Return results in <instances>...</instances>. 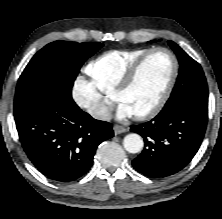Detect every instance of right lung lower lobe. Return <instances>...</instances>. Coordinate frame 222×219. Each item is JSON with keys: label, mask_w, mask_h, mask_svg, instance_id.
Here are the masks:
<instances>
[{"label": "right lung lower lobe", "mask_w": 222, "mask_h": 219, "mask_svg": "<svg viewBox=\"0 0 222 219\" xmlns=\"http://www.w3.org/2000/svg\"><path fill=\"white\" fill-rule=\"evenodd\" d=\"M15 122L28 158L58 182L86 174L98 145L114 135L110 123L92 118L66 94H55L15 114Z\"/></svg>", "instance_id": "obj_1"}]
</instances>
